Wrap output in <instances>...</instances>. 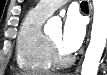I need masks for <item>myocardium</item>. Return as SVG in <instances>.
Listing matches in <instances>:
<instances>
[{"mask_svg":"<svg viewBox=\"0 0 107 75\" xmlns=\"http://www.w3.org/2000/svg\"><path fill=\"white\" fill-rule=\"evenodd\" d=\"M50 57L54 66L64 67L71 63L72 58L69 54L64 52L62 48L56 44L50 37H47Z\"/></svg>","mask_w":107,"mask_h":75,"instance_id":"f54148a6","label":"myocardium"}]
</instances>
